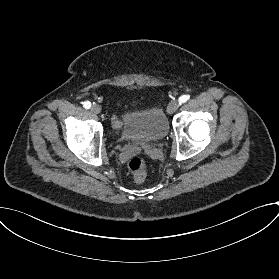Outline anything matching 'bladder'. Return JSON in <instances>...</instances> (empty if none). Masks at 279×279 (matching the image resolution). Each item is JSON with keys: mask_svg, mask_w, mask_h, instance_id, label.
Masks as SVG:
<instances>
[{"mask_svg": "<svg viewBox=\"0 0 279 279\" xmlns=\"http://www.w3.org/2000/svg\"><path fill=\"white\" fill-rule=\"evenodd\" d=\"M120 125L123 139L137 145L159 141L168 132L167 116L158 103L137 111H127Z\"/></svg>", "mask_w": 279, "mask_h": 279, "instance_id": "obj_1", "label": "bladder"}]
</instances>
